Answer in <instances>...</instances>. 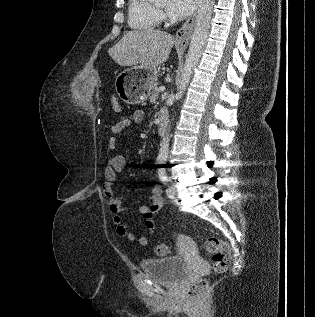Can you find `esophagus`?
I'll list each match as a JSON object with an SVG mask.
<instances>
[{
  "instance_id": "1",
  "label": "esophagus",
  "mask_w": 315,
  "mask_h": 317,
  "mask_svg": "<svg viewBox=\"0 0 315 317\" xmlns=\"http://www.w3.org/2000/svg\"><path fill=\"white\" fill-rule=\"evenodd\" d=\"M196 19V12L190 16L182 27L176 32V39L183 46L186 47L189 43Z\"/></svg>"
}]
</instances>
